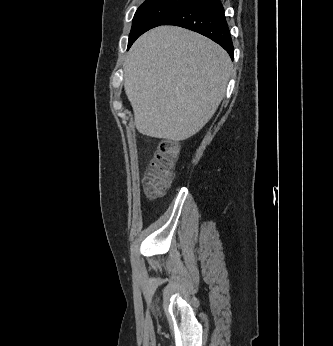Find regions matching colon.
Wrapping results in <instances>:
<instances>
[{"label":"colon","mask_w":333,"mask_h":346,"mask_svg":"<svg viewBox=\"0 0 333 346\" xmlns=\"http://www.w3.org/2000/svg\"><path fill=\"white\" fill-rule=\"evenodd\" d=\"M180 148L177 143L161 141L145 175L144 189L148 198L160 197L170 184L178 160Z\"/></svg>","instance_id":"obj_1"}]
</instances>
